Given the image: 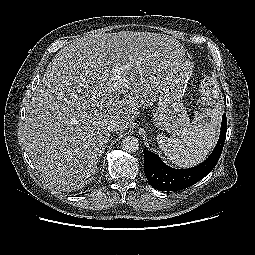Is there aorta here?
Masks as SVG:
<instances>
[{
	"instance_id": "aorta-1",
	"label": "aorta",
	"mask_w": 255,
	"mask_h": 255,
	"mask_svg": "<svg viewBox=\"0 0 255 255\" xmlns=\"http://www.w3.org/2000/svg\"><path fill=\"white\" fill-rule=\"evenodd\" d=\"M121 147L124 151L134 153L138 150L139 142L134 136H127L122 140Z\"/></svg>"
}]
</instances>
